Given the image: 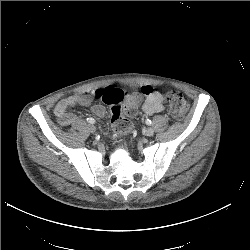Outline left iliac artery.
<instances>
[{
	"mask_svg": "<svg viewBox=\"0 0 250 250\" xmlns=\"http://www.w3.org/2000/svg\"><path fill=\"white\" fill-rule=\"evenodd\" d=\"M145 122L147 125H151V123H152L150 119H147Z\"/></svg>",
	"mask_w": 250,
	"mask_h": 250,
	"instance_id": "1",
	"label": "left iliac artery"
}]
</instances>
